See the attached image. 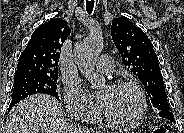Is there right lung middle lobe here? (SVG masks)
I'll use <instances>...</instances> for the list:
<instances>
[{
  "mask_svg": "<svg viewBox=\"0 0 184 133\" xmlns=\"http://www.w3.org/2000/svg\"><path fill=\"white\" fill-rule=\"evenodd\" d=\"M56 77H22L14 78V90L12 93V101L9 108L11 109L19 101L32 94H48L59 100L56 92Z\"/></svg>",
  "mask_w": 184,
  "mask_h": 133,
  "instance_id": "right-lung-middle-lobe-1",
  "label": "right lung middle lobe"
}]
</instances>
